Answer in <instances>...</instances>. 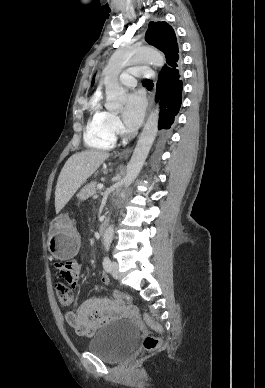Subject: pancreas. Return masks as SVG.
<instances>
[{"label":"pancreas","mask_w":265,"mask_h":388,"mask_svg":"<svg viewBox=\"0 0 265 388\" xmlns=\"http://www.w3.org/2000/svg\"><path fill=\"white\" fill-rule=\"evenodd\" d=\"M97 184L98 182H90V184H87V186H84L82 188L80 194H78L77 198L78 200H88V198H91V196H95L96 190H97Z\"/></svg>","instance_id":"pancreas-1"}]
</instances>
